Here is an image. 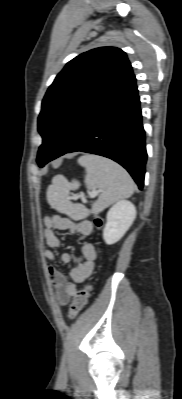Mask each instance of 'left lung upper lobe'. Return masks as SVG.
Segmentation results:
<instances>
[{
    "mask_svg": "<svg viewBox=\"0 0 182 399\" xmlns=\"http://www.w3.org/2000/svg\"><path fill=\"white\" fill-rule=\"evenodd\" d=\"M134 79L126 53L115 47L92 49L68 62L42 101L39 166L57 158L91 116Z\"/></svg>",
    "mask_w": 182,
    "mask_h": 399,
    "instance_id": "obj_1",
    "label": "left lung upper lobe"
}]
</instances>
